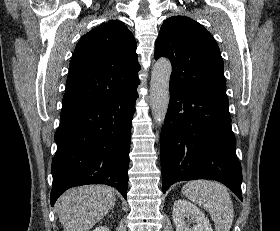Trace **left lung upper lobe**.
Segmentation results:
<instances>
[{
    "label": "left lung upper lobe",
    "mask_w": 280,
    "mask_h": 231,
    "mask_svg": "<svg viewBox=\"0 0 280 231\" xmlns=\"http://www.w3.org/2000/svg\"><path fill=\"white\" fill-rule=\"evenodd\" d=\"M172 63L170 86L226 95L223 60L212 35L186 16L166 19L155 44V59Z\"/></svg>",
    "instance_id": "5c2ea615"
}]
</instances>
